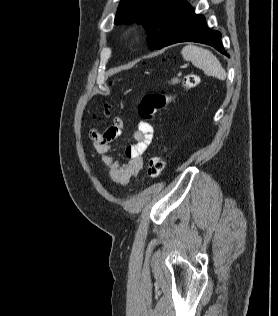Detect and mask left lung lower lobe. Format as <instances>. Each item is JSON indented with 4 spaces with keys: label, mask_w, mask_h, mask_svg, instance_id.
<instances>
[{
    "label": "left lung lower lobe",
    "mask_w": 278,
    "mask_h": 316,
    "mask_svg": "<svg viewBox=\"0 0 278 316\" xmlns=\"http://www.w3.org/2000/svg\"><path fill=\"white\" fill-rule=\"evenodd\" d=\"M180 42H198L211 45L229 57L221 43V33L209 29L205 17L195 14L190 4L183 14L174 34L164 47Z\"/></svg>",
    "instance_id": "1"
}]
</instances>
